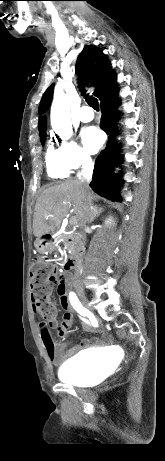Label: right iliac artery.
<instances>
[{"instance_id":"1","label":"right iliac artery","mask_w":165,"mask_h":461,"mask_svg":"<svg viewBox=\"0 0 165 461\" xmlns=\"http://www.w3.org/2000/svg\"><path fill=\"white\" fill-rule=\"evenodd\" d=\"M69 298H70V302L72 306L74 307V309L81 315H84L86 313V309L81 305L77 296L74 293H70Z\"/></svg>"}]
</instances>
